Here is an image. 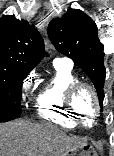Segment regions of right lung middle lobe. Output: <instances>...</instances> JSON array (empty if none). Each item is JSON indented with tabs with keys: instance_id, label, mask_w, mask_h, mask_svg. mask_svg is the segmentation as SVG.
<instances>
[{
	"instance_id": "right-lung-middle-lobe-1",
	"label": "right lung middle lobe",
	"mask_w": 114,
	"mask_h": 156,
	"mask_svg": "<svg viewBox=\"0 0 114 156\" xmlns=\"http://www.w3.org/2000/svg\"><path fill=\"white\" fill-rule=\"evenodd\" d=\"M29 71L0 69V122L21 114V90Z\"/></svg>"
}]
</instances>
